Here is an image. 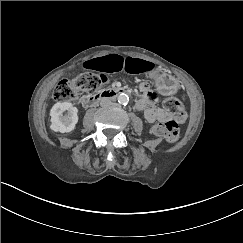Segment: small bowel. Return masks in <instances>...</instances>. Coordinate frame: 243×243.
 <instances>
[{
    "label": "small bowel",
    "instance_id": "1",
    "mask_svg": "<svg viewBox=\"0 0 243 243\" xmlns=\"http://www.w3.org/2000/svg\"><path fill=\"white\" fill-rule=\"evenodd\" d=\"M83 67L87 70L100 72L112 73L126 71L132 74L144 73L153 69V65L146 60L124 57L118 54L88 60L83 64ZM140 90L142 92V98L138 101L137 108L144 113L145 119L150 123L167 119V114L156 106V95L150 86L142 83Z\"/></svg>",
    "mask_w": 243,
    "mask_h": 243
}]
</instances>
